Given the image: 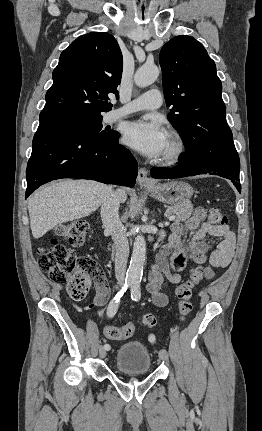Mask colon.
Wrapping results in <instances>:
<instances>
[{"instance_id": "1", "label": "colon", "mask_w": 262, "mask_h": 431, "mask_svg": "<svg viewBox=\"0 0 262 431\" xmlns=\"http://www.w3.org/2000/svg\"><path fill=\"white\" fill-rule=\"evenodd\" d=\"M208 222L214 226H224L227 224V217L218 208H211ZM87 231V226L81 223L63 225L59 230V236L63 242L52 239L49 246L41 247L37 251V262L42 271L49 280L64 285L68 295L74 301L85 299L91 288L92 279L101 275V270L93 259L76 256L70 249V246L84 243ZM202 279L203 271L197 268L186 281L177 286L175 293L181 319H185L192 311V290ZM142 321L148 328L155 327L157 323L152 314L144 315ZM134 333L135 326L132 323L109 326L105 329L106 337L111 340L128 339Z\"/></svg>"}]
</instances>
